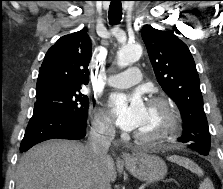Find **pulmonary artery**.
<instances>
[{
	"instance_id": "1",
	"label": "pulmonary artery",
	"mask_w": 223,
	"mask_h": 189,
	"mask_svg": "<svg viewBox=\"0 0 223 189\" xmlns=\"http://www.w3.org/2000/svg\"><path fill=\"white\" fill-rule=\"evenodd\" d=\"M141 78V70L138 67H132L126 72L109 75L107 84L112 87L127 88L139 83Z\"/></svg>"
}]
</instances>
